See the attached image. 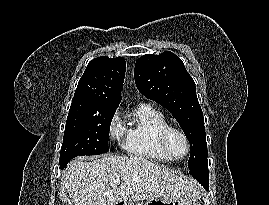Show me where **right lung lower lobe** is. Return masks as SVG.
Instances as JSON below:
<instances>
[{
  "label": "right lung lower lobe",
  "instance_id": "obj_1",
  "mask_svg": "<svg viewBox=\"0 0 269 205\" xmlns=\"http://www.w3.org/2000/svg\"><path fill=\"white\" fill-rule=\"evenodd\" d=\"M70 160H66V161H63V162H59L60 163V169H64V167L67 165V163L69 162Z\"/></svg>",
  "mask_w": 269,
  "mask_h": 205
}]
</instances>
